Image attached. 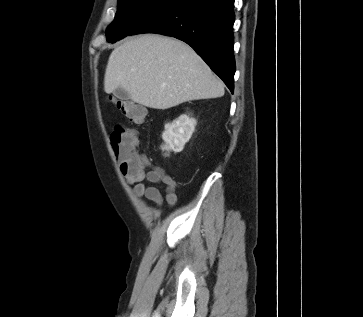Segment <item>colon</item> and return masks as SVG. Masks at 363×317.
Returning a JSON list of instances; mask_svg holds the SVG:
<instances>
[{"label":"colon","instance_id":"colon-1","mask_svg":"<svg viewBox=\"0 0 363 317\" xmlns=\"http://www.w3.org/2000/svg\"><path fill=\"white\" fill-rule=\"evenodd\" d=\"M117 107L128 120L140 124L145 120V109L139 104L130 101L117 99ZM138 143L137 134L122 126H117L110 134L109 144L121 168L138 170L142 168L144 160L136 150Z\"/></svg>","mask_w":363,"mask_h":317}]
</instances>
